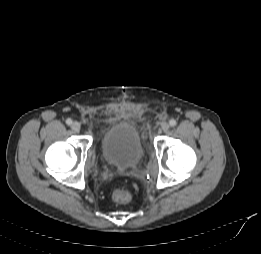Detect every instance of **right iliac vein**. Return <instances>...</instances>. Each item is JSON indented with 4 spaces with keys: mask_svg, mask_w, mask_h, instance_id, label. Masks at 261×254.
<instances>
[{
    "mask_svg": "<svg viewBox=\"0 0 261 254\" xmlns=\"http://www.w3.org/2000/svg\"><path fill=\"white\" fill-rule=\"evenodd\" d=\"M71 129L74 131V132H79L80 131V129H81V125H80V123L79 122H73L72 124H71Z\"/></svg>",
    "mask_w": 261,
    "mask_h": 254,
    "instance_id": "obj_1",
    "label": "right iliac vein"
}]
</instances>
